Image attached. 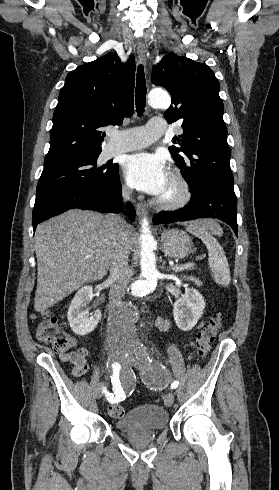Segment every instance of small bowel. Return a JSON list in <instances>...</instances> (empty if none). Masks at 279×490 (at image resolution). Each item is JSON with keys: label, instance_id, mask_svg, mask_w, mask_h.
Here are the masks:
<instances>
[{"label": "small bowel", "instance_id": "c3829d8e", "mask_svg": "<svg viewBox=\"0 0 279 490\" xmlns=\"http://www.w3.org/2000/svg\"><path fill=\"white\" fill-rule=\"evenodd\" d=\"M157 326L160 330H167L169 322L164 319H159ZM59 358L62 362L71 364V372L74 376H83L89 370L87 362L88 350L84 347L76 345L74 351L62 352L60 353Z\"/></svg>", "mask_w": 279, "mask_h": 490}]
</instances>
